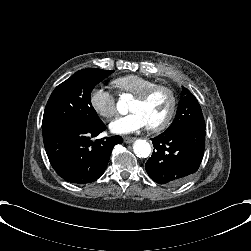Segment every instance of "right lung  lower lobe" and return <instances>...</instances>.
<instances>
[{
	"instance_id": "1",
	"label": "right lung lower lobe",
	"mask_w": 251,
	"mask_h": 251,
	"mask_svg": "<svg viewBox=\"0 0 251 251\" xmlns=\"http://www.w3.org/2000/svg\"><path fill=\"white\" fill-rule=\"evenodd\" d=\"M106 129L104 123L95 127L71 124L43 135L49 161L56 173L75 184H87L102 176L112 148L122 143L120 136L104 137L92 142Z\"/></svg>"
}]
</instances>
